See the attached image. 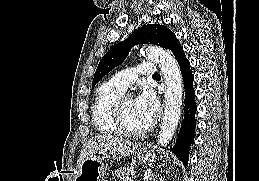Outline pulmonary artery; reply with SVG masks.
<instances>
[{"label":"pulmonary artery","mask_w":259,"mask_h":181,"mask_svg":"<svg viewBox=\"0 0 259 181\" xmlns=\"http://www.w3.org/2000/svg\"><path fill=\"white\" fill-rule=\"evenodd\" d=\"M157 71V66L151 62H143L136 68L125 69L110 78L115 86L126 90L134 81L137 75L152 77Z\"/></svg>","instance_id":"pulmonary-artery-1"}]
</instances>
